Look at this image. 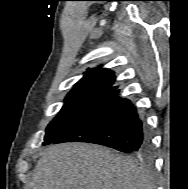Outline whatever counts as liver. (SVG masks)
Wrapping results in <instances>:
<instances>
[{
	"mask_svg": "<svg viewBox=\"0 0 188 189\" xmlns=\"http://www.w3.org/2000/svg\"><path fill=\"white\" fill-rule=\"evenodd\" d=\"M151 176L131 158L87 143L49 146L26 189H153Z\"/></svg>",
	"mask_w": 188,
	"mask_h": 189,
	"instance_id": "6515ba94",
	"label": "liver"
}]
</instances>
